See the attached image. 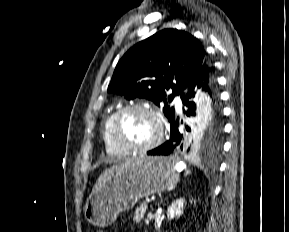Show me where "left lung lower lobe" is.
<instances>
[{
    "mask_svg": "<svg viewBox=\"0 0 289 232\" xmlns=\"http://www.w3.org/2000/svg\"><path fill=\"white\" fill-rule=\"evenodd\" d=\"M199 88H202V90L207 93L209 97V107L202 114L198 125L211 118H219L221 120L214 70L210 62L206 59L184 89L185 91L180 94L183 104L187 107L186 110H184L187 116H195V103L193 99L195 98V91ZM190 129V127H186L187 131ZM170 130V139L161 146L147 152L148 155L166 156L174 152H189L186 148L185 134L179 130V121L175 120V118L170 122Z\"/></svg>",
    "mask_w": 289,
    "mask_h": 232,
    "instance_id": "0a47b994",
    "label": "left lung lower lobe"
}]
</instances>
